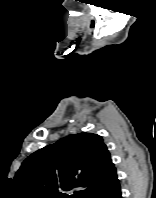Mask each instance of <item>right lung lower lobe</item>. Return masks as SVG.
<instances>
[{
    "label": "right lung lower lobe",
    "mask_w": 156,
    "mask_h": 198,
    "mask_svg": "<svg viewBox=\"0 0 156 198\" xmlns=\"http://www.w3.org/2000/svg\"><path fill=\"white\" fill-rule=\"evenodd\" d=\"M106 198H122L120 185L116 189H114L108 196H106Z\"/></svg>",
    "instance_id": "right-lung-lower-lobe-1"
}]
</instances>
